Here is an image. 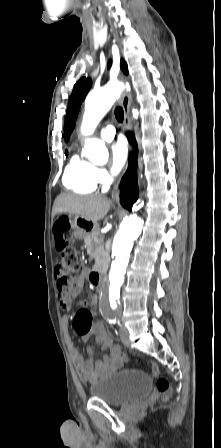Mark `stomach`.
<instances>
[{"instance_id":"obj_1","label":"stomach","mask_w":221,"mask_h":448,"mask_svg":"<svg viewBox=\"0 0 221 448\" xmlns=\"http://www.w3.org/2000/svg\"><path fill=\"white\" fill-rule=\"evenodd\" d=\"M70 225L71 228L73 229V235L76 239H83L85 238L87 235L90 234V231H93L97 224L92 222V221H88L84 218H82L81 216H75L70 220Z\"/></svg>"}]
</instances>
